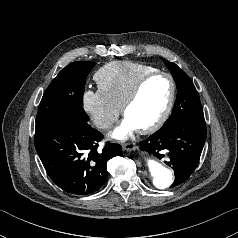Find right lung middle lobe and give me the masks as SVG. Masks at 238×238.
Instances as JSON below:
<instances>
[{"mask_svg": "<svg viewBox=\"0 0 238 238\" xmlns=\"http://www.w3.org/2000/svg\"><path fill=\"white\" fill-rule=\"evenodd\" d=\"M94 65L89 61H76L58 73L39 104L36 130L50 124L89 120L82 109V95L86 77Z\"/></svg>", "mask_w": 238, "mask_h": 238, "instance_id": "dd1d6c3e", "label": "right lung middle lobe"}]
</instances>
